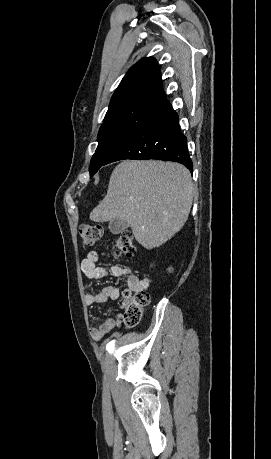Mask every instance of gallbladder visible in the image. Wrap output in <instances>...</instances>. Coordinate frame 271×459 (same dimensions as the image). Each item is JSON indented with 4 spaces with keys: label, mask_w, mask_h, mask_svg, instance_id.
I'll return each instance as SVG.
<instances>
[{
    "label": "gallbladder",
    "mask_w": 271,
    "mask_h": 459,
    "mask_svg": "<svg viewBox=\"0 0 271 459\" xmlns=\"http://www.w3.org/2000/svg\"><path fill=\"white\" fill-rule=\"evenodd\" d=\"M130 224L128 222H124V220H113V222H110L108 228L112 233H121V231H124V229L129 228Z\"/></svg>",
    "instance_id": "bac80fb5"
}]
</instances>
